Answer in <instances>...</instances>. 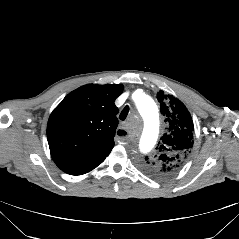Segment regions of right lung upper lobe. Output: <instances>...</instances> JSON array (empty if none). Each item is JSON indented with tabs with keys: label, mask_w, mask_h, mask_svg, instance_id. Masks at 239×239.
Masks as SVG:
<instances>
[{
	"label": "right lung upper lobe",
	"mask_w": 239,
	"mask_h": 239,
	"mask_svg": "<svg viewBox=\"0 0 239 239\" xmlns=\"http://www.w3.org/2000/svg\"><path fill=\"white\" fill-rule=\"evenodd\" d=\"M122 91L120 84L85 85L53 110L47 139L51 156L62 171L85 174L109 155L118 125L114 101Z\"/></svg>",
	"instance_id": "obj_1"
}]
</instances>
